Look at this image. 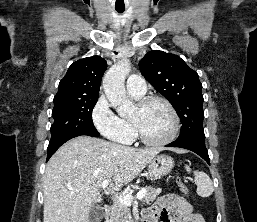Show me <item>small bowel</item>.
Instances as JSON below:
<instances>
[{
	"label": "small bowel",
	"mask_w": 257,
	"mask_h": 222,
	"mask_svg": "<svg viewBox=\"0 0 257 222\" xmlns=\"http://www.w3.org/2000/svg\"><path fill=\"white\" fill-rule=\"evenodd\" d=\"M144 222H205L203 217L194 213L191 204L178 195H167L147 209Z\"/></svg>",
	"instance_id": "1"
}]
</instances>
